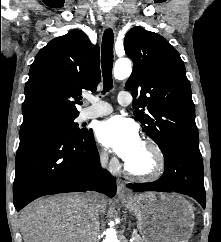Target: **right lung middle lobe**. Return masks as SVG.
Masks as SVG:
<instances>
[{"instance_id":"right-lung-middle-lobe-1","label":"right lung middle lobe","mask_w":221,"mask_h":242,"mask_svg":"<svg viewBox=\"0 0 221 242\" xmlns=\"http://www.w3.org/2000/svg\"><path fill=\"white\" fill-rule=\"evenodd\" d=\"M77 116L78 114L67 116V117L43 120V121L29 124L27 126H23L21 127V129L30 128V127H52V128H56L58 130L64 131L71 135H80L85 133L87 130L79 129L78 124L74 122Z\"/></svg>"}]
</instances>
